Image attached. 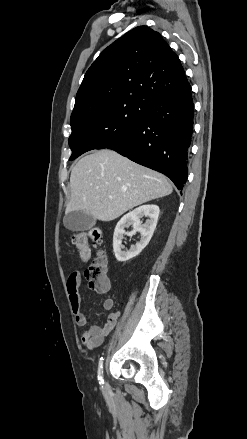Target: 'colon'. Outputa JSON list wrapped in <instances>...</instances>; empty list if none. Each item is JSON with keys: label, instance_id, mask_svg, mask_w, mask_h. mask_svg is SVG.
<instances>
[{"label": "colon", "instance_id": "colon-1", "mask_svg": "<svg viewBox=\"0 0 247 439\" xmlns=\"http://www.w3.org/2000/svg\"><path fill=\"white\" fill-rule=\"evenodd\" d=\"M72 242L77 247L80 260L83 262H88L91 258L90 244L98 249L97 255L85 270L84 275L88 280L89 287L93 291L97 293L108 291L110 281L108 278L107 258L102 251L103 239L100 229L89 228L79 232L73 236Z\"/></svg>", "mask_w": 247, "mask_h": 439}]
</instances>
